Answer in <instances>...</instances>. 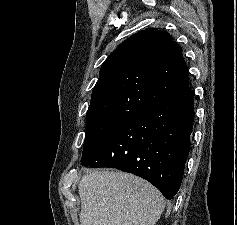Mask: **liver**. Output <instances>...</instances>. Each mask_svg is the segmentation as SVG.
<instances>
[{
  "instance_id": "6515ba94",
  "label": "liver",
  "mask_w": 237,
  "mask_h": 225,
  "mask_svg": "<svg viewBox=\"0 0 237 225\" xmlns=\"http://www.w3.org/2000/svg\"><path fill=\"white\" fill-rule=\"evenodd\" d=\"M78 189L81 225H155L165 208L159 190L121 171H91Z\"/></svg>"
}]
</instances>
